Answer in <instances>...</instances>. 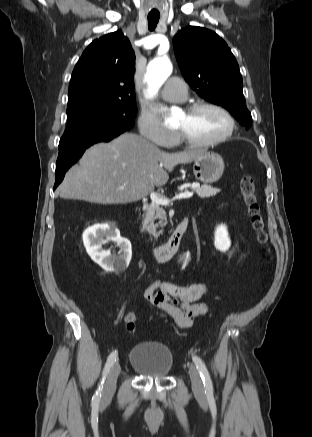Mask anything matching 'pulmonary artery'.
<instances>
[{
    "mask_svg": "<svg viewBox=\"0 0 312 437\" xmlns=\"http://www.w3.org/2000/svg\"><path fill=\"white\" fill-rule=\"evenodd\" d=\"M161 95L170 102H183L187 99V85L179 78H170L165 83Z\"/></svg>",
    "mask_w": 312,
    "mask_h": 437,
    "instance_id": "1",
    "label": "pulmonary artery"
}]
</instances>
